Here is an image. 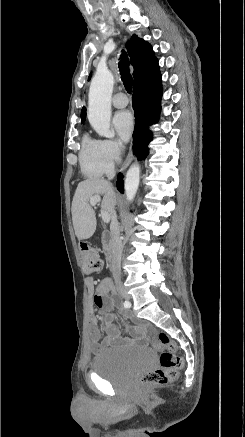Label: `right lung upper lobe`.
<instances>
[{"instance_id": "obj_1", "label": "right lung upper lobe", "mask_w": 245, "mask_h": 437, "mask_svg": "<svg viewBox=\"0 0 245 437\" xmlns=\"http://www.w3.org/2000/svg\"><path fill=\"white\" fill-rule=\"evenodd\" d=\"M127 51L130 56L131 64L134 67V87L151 83L159 78L158 60L155 57L152 46L143 39L133 35L127 42ZM91 75L89 76L90 79ZM82 123L86 119V108L81 110Z\"/></svg>"}]
</instances>
